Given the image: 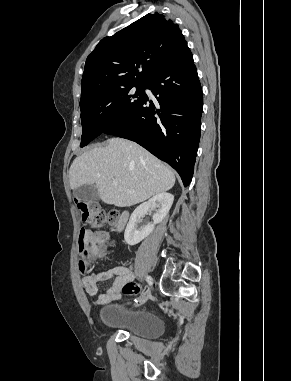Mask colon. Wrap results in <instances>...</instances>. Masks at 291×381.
Wrapping results in <instances>:
<instances>
[{
  "instance_id": "colon-1",
  "label": "colon",
  "mask_w": 291,
  "mask_h": 381,
  "mask_svg": "<svg viewBox=\"0 0 291 381\" xmlns=\"http://www.w3.org/2000/svg\"><path fill=\"white\" fill-rule=\"evenodd\" d=\"M76 206L80 212L81 218L84 222L90 223L93 226H104L106 224L113 225L117 221L118 215L116 212H105L98 204L89 202L82 199L75 200ZM90 240V230L81 228L78 238V252L80 261L85 266L89 257L88 243ZM139 291L138 286L129 282L122 287V292L126 295L135 294Z\"/></svg>"
}]
</instances>
